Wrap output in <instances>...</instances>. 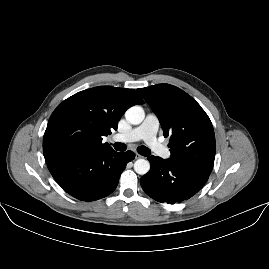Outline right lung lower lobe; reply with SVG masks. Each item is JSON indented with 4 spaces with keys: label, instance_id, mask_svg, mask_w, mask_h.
Listing matches in <instances>:
<instances>
[{
    "label": "right lung lower lobe",
    "instance_id": "right-lung-lower-lobe-1",
    "mask_svg": "<svg viewBox=\"0 0 269 269\" xmlns=\"http://www.w3.org/2000/svg\"><path fill=\"white\" fill-rule=\"evenodd\" d=\"M132 151L94 149L86 153L48 159L47 167L56 182L70 195L82 201H94L112 193Z\"/></svg>",
    "mask_w": 269,
    "mask_h": 269
}]
</instances>
